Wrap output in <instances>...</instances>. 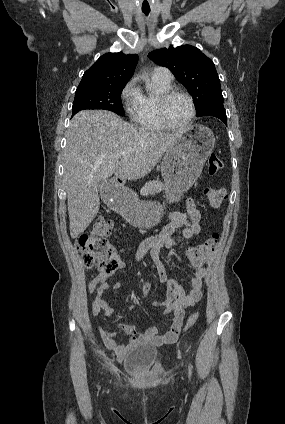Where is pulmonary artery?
<instances>
[{"label": "pulmonary artery", "instance_id": "1", "mask_svg": "<svg viewBox=\"0 0 285 424\" xmlns=\"http://www.w3.org/2000/svg\"><path fill=\"white\" fill-rule=\"evenodd\" d=\"M152 75L153 77L165 83H170L172 80L171 72L165 67H155L152 71Z\"/></svg>", "mask_w": 285, "mask_h": 424}]
</instances>
